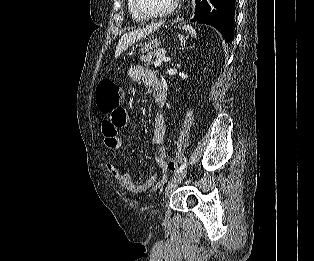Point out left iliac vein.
Listing matches in <instances>:
<instances>
[{
    "instance_id": "4c4485c4",
    "label": "left iliac vein",
    "mask_w": 314,
    "mask_h": 261,
    "mask_svg": "<svg viewBox=\"0 0 314 261\" xmlns=\"http://www.w3.org/2000/svg\"><path fill=\"white\" fill-rule=\"evenodd\" d=\"M187 173V170H183L176 176H174L169 183L167 184V187L165 189V197H168L173 190L176 189V187L181 183V181L185 178Z\"/></svg>"
}]
</instances>
